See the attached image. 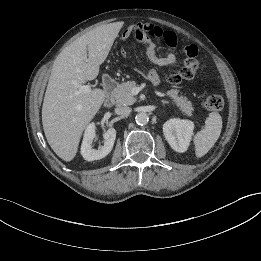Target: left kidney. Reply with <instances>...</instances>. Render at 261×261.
I'll use <instances>...</instances> for the list:
<instances>
[{
    "mask_svg": "<svg viewBox=\"0 0 261 261\" xmlns=\"http://www.w3.org/2000/svg\"><path fill=\"white\" fill-rule=\"evenodd\" d=\"M194 130V123L190 120L178 118L170 119L163 125L165 139L176 152L187 151Z\"/></svg>",
    "mask_w": 261,
    "mask_h": 261,
    "instance_id": "5707ae66",
    "label": "left kidney"
}]
</instances>
